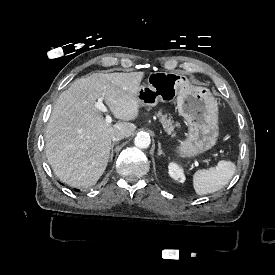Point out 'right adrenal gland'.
<instances>
[{
	"mask_svg": "<svg viewBox=\"0 0 275 275\" xmlns=\"http://www.w3.org/2000/svg\"><path fill=\"white\" fill-rule=\"evenodd\" d=\"M116 144H117V142H113L112 145H111L110 163L112 162L113 155H114L113 147H114V145H116Z\"/></svg>",
	"mask_w": 275,
	"mask_h": 275,
	"instance_id": "obj_1",
	"label": "right adrenal gland"
}]
</instances>
